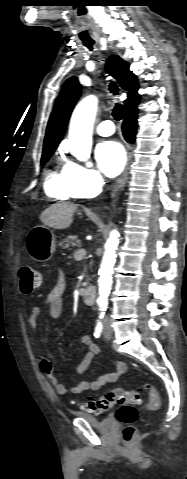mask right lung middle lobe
Segmentation results:
<instances>
[{"mask_svg":"<svg viewBox=\"0 0 187 479\" xmlns=\"http://www.w3.org/2000/svg\"><path fill=\"white\" fill-rule=\"evenodd\" d=\"M53 152H54V150H48V151L43 152L42 158H41L42 164H44L48 161V159L52 156Z\"/></svg>","mask_w":187,"mask_h":479,"instance_id":"right-lung-middle-lobe-1","label":"right lung middle lobe"}]
</instances>
